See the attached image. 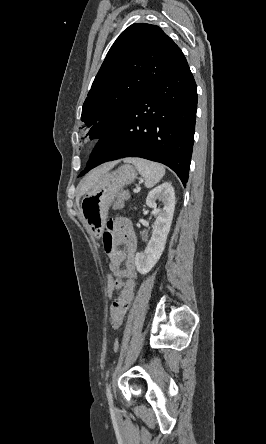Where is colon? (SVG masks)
<instances>
[{
	"mask_svg": "<svg viewBox=\"0 0 266 444\" xmlns=\"http://www.w3.org/2000/svg\"><path fill=\"white\" fill-rule=\"evenodd\" d=\"M129 194L126 190L122 191L118 196L116 201L114 202V208L119 209L123 206L124 202L128 199ZM117 290V278L116 276L110 272L106 276V292L109 298H112L115 291ZM120 348V342L116 339L113 342V350L116 352Z\"/></svg>",
	"mask_w": 266,
	"mask_h": 444,
	"instance_id": "colon-1",
	"label": "colon"
}]
</instances>
